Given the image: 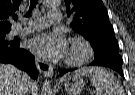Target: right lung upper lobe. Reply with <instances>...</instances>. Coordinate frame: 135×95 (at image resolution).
Listing matches in <instances>:
<instances>
[{
  "label": "right lung upper lobe",
  "mask_w": 135,
  "mask_h": 95,
  "mask_svg": "<svg viewBox=\"0 0 135 95\" xmlns=\"http://www.w3.org/2000/svg\"><path fill=\"white\" fill-rule=\"evenodd\" d=\"M20 3L21 0H0V31L11 29L8 19L19 9Z\"/></svg>",
  "instance_id": "1"
}]
</instances>
